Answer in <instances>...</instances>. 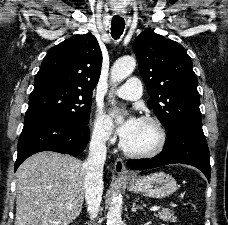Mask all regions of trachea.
Instances as JSON below:
<instances>
[{"label": "trachea", "instance_id": "trachea-1", "mask_svg": "<svg viewBox=\"0 0 228 225\" xmlns=\"http://www.w3.org/2000/svg\"><path fill=\"white\" fill-rule=\"evenodd\" d=\"M125 27V21L121 17H113L111 22V35L117 40L123 33Z\"/></svg>", "mask_w": 228, "mask_h": 225}]
</instances>
